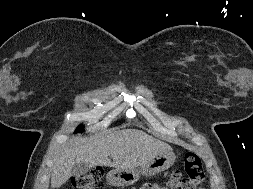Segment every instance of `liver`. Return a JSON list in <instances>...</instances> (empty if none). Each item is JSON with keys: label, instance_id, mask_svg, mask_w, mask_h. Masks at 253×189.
<instances>
[{"label": "liver", "instance_id": "obj_1", "mask_svg": "<svg viewBox=\"0 0 253 189\" xmlns=\"http://www.w3.org/2000/svg\"><path fill=\"white\" fill-rule=\"evenodd\" d=\"M169 144L138 129H124L90 140L73 137L53 158L51 188H59L72 176L76 163L89 167L134 169L160 153L171 152ZM111 157L113 161L109 159Z\"/></svg>", "mask_w": 253, "mask_h": 189}]
</instances>
